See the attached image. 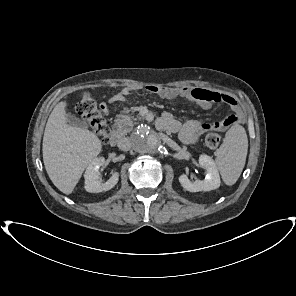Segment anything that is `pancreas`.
Returning <instances> with one entry per match:
<instances>
[{
  "mask_svg": "<svg viewBox=\"0 0 296 296\" xmlns=\"http://www.w3.org/2000/svg\"><path fill=\"white\" fill-rule=\"evenodd\" d=\"M125 113L126 112L123 111L117 116V119L114 120V126L117 128L118 132L121 135H126L127 133H129L135 125L134 121L138 119L132 115Z\"/></svg>",
  "mask_w": 296,
  "mask_h": 296,
  "instance_id": "cf45deb5",
  "label": "pancreas"
}]
</instances>
